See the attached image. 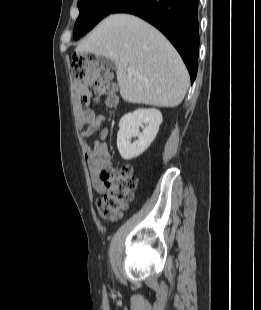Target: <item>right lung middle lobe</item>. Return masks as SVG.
<instances>
[{
  "mask_svg": "<svg viewBox=\"0 0 261 310\" xmlns=\"http://www.w3.org/2000/svg\"><path fill=\"white\" fill-rule=\"evenodd\" d=\"M125 0H78L79 17L74 27V39L91 30L101 19Z\"/></svg>",
  "mask_w": 261,
  "mask_h": 310,
  "instance_id": "1",
  "label": "right lung middle lobe"
}]
</instances>
